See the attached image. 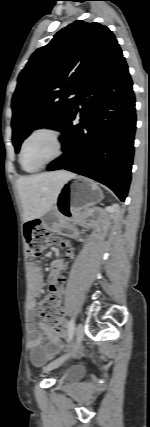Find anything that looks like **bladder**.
I'll return each instance as SVG.
<instances>
[{
	"label": "bladder",
	"instance_id": "31cf9c89",
	"mask_svg": "<svg viewBox=\"0 0 150 427\" xmlns=\"http://www.w3.org/2000/svg\"><path fill=\"white\" fill-rule=\"evenodd\" d=\"M80 373H81V370L79 367H69V368H66V369L60 371L56 375V379L57 380H71V379L78 377L80 375Z\"/></svg>",
	"mask_w": 150,
	"mask_h": 427
}]
</instances>
